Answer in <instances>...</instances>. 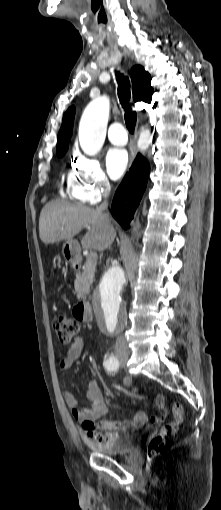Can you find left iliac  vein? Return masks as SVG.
Masks as SVG:
<instances>
[{
	"instance_id": "4c4485c4",
	"label": "left iliac vein",
	"mask_w": 221,
	"mask_h": 510,
	"mask_svg": "<svg viewBox=\"0 0 221 510\" xmlns=\"http://www.w3.org/2000/svg\"><path fill=\"white\" fill-rule=\"evenodd\" d=\"M126 360H127V358L120 361L122 367H124L126 365Z\"/></svg>"
}]
</instances>
